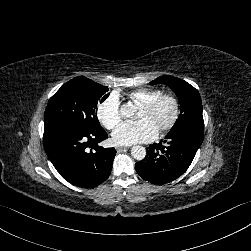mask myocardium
Returning a JSON list of instances; mask_svg holds the SVG:
<instances>
[{"instance_id":"myocardium-1","label":"myocardium","mask_w":251,"mask_h":251,"mask_svg":"<svg viewBox=\"0 0 251 251\" xmlns=\"http://www.w3.org/2000/svg\"><path fill=\"white\" fill-rule=\"evenodd\" d=\"M165 100L172 101V103L174 104L175 111L173 118L168 123L161 125L159 127L161 131L171 130L178 124L182 114V103L180 98L174 93H162L149 103L141 106L143 109L147 111H154Z\"/></svg>"}]
</instances>
